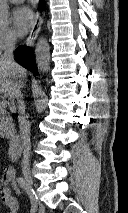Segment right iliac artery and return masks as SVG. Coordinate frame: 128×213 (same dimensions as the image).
I'll list each match as a JSON object with an SVG mask.
<instances>
[{
    "label": "right iliac artery",
    "instance_id": "82829eb1",
    "mask_svg": "<svg viewBox=\"0 0 128 213\" xmlns=\"http://www.w3.org/2000/svg\"><path fill=\"white\" fill-rule=\"evenodd\" d=\"M17 181H18L20 187H21L23 190H25L28 194L31 193V192L29 191V189H28L26 180H25L24 178L18 177V178H17Z\"/></svg>",
    "mask_w": 128,
    "mask_h": 213
}]
</instances>
